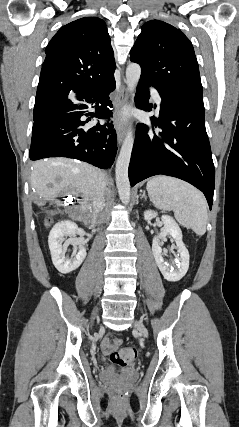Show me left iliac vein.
<instances>
[{"label":"left iliac vein","instance_id":"4c4485c4","mask_svg":"<svg viewBox=\"0 0 239 427\" xmlns=\"http://www.w3.org/2000/svg\"><path fill=\"white\" fill-rule=\"evenodd\" d=\"M135 327L139 330V332L144 336L147 337L148 336V332L147 329L145 328V326L142 324V322L137 321L135 322Z\"/></svg>","mask_w":239,"mask_h":427}]
</instances>
